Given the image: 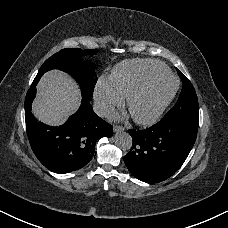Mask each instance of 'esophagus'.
<instances>
[{"label": "esophagus", "instance_id": "34e87169", "mask_svg": "<svg viewBox=\"0 0 228 228\" xmlns=\"http://www.w3.org/2000/svg\"><path fill=\"white\" fill-rule=\"evenodd\" d=\"M113 130H114V132H120V131H123L124 130V127L121 126V125H115L113 127Z\"/></svg>", "mask_w": 228, "mask_h": 228}]
</instances>
